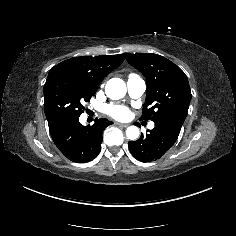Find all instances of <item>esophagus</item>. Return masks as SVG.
Returning <instances> with one entry per match:
<instances>
[{
	"instance_id": "esophagus-1",
	"label": "esophagus",
	"mask_w": 236,
	"mask_h": 236,
	"mask_svg": "<svg viewBox=\"0 0 236 236\" xmlns=\"http://www.w3.org/2000/svg\"><path fill=\"white\" fill-rule=\"evenodd\" d=\"M114 124L117 125V126H121V127L129 126V124H124V123H119V122H115Z\"/></svg>"
}]
</instances>
